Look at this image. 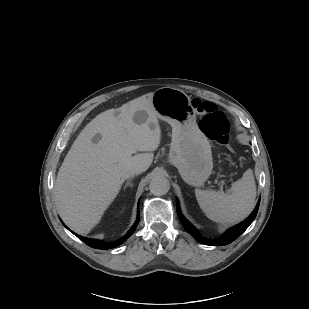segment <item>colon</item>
<instances>
[{
	"label": "colon",
	"instance_id": "obj_1",
	"mask_svg": "<svg viewBox=\"0 0 309 309\" xmlns=\"http://www.w3.org/2000/svg\"><path fill=\"white\" fill-rule=\"evenodd\" d=\"M193 108L199 117L200 129L212 140L229 146L228 123L225 115L210 101L194 99Z\"/></svg>",
	"mask_w": 309,
	"mask_h": 309
}]
</instances>
